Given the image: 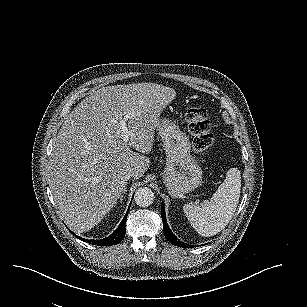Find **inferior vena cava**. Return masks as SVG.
<instances>
[{
  "label": "inferior vena cava",
  "mask_w": 307,
  "mask_h": 307,
  "mask_svg": "<svg viewBox=\"0 0 307 307\" xmlns=\"http://www.w3.org/2000/svg\"><path fill=\"white\" fill-rule=\"evenodd\" d=\"M131 177H133V174H132V173H127V174L124 176V180L127 181V180H129Z\"/></svg>",
  "instance_id": "602c4592"
}]
</instances>
